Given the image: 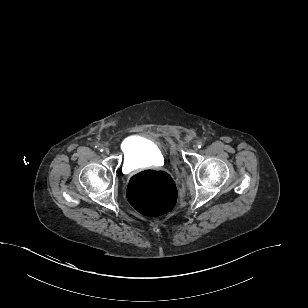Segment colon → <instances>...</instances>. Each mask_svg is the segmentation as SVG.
<instances>
[{
	"instance_id": "1",
	"label": "colon",
	"mask_w": 308,
	"mask_h": 308,
	"mask_svg": "<svg viewBox=\"0 0 308 308\" xmlns=\"http://www.w3.org/2000/svg\"><path fill=\"white\" fill-rule=\"evenodd\" d=\"M127 196L131 206L141 214L158 216L173 208L176 187L167 173L149 170L131 178Z\"/></svg>"
}]
</instances>
